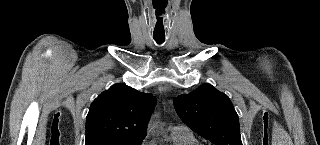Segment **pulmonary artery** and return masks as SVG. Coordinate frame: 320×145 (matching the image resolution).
I'll return each mask as SVG.
<instances>
[{"label": "pulmonary artery", "mask_w": 320, "mask_h": 145, "mask_svg": "<svg viewBox=\"0 0 320 145\" xmlns=\"http://www.w3.org/2000/svg\"><path fill=\"white\" fill-rule=\"evenodd\" d=\"M170 131L171 132H176V131H179V132H188L190 131L189 128L185 125H175V126H171L170 127Z\"/></svg>", "instance_id": "1"}]
</instances>
